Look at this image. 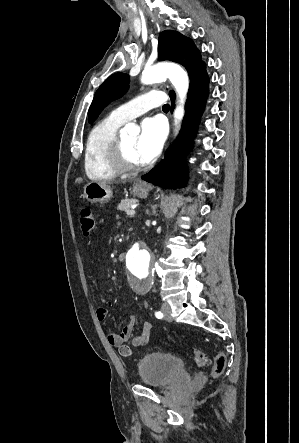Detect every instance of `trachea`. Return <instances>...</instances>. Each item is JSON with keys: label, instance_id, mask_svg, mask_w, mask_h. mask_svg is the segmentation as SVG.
Segmentation results:
<instances>
[{"label": "trachea", "instance_id": "obj_1", "mask_svg": "<svg viewBox=\"0 0 299 443\" xmlns=\"http://www.w3.org/2000/svg\"><path fill=\"white\" fill-rule=\"evenodd\" d=\"M169 104H165L164 106H163V110H169Z\"/></svg>", "mask_w": 299, "mask_h": 443}]
</instances>
